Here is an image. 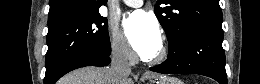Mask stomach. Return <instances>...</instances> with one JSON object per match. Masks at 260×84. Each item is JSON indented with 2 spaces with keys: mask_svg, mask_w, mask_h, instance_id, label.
Returning a JSON list of instances; mask_svg holds the SVG:
<instances>
[{
  "mask_svg": "<svg viewBox=\"0 0 260 84\" xmlns=\"http://www.w3.org/2000/svg\"><path fill=\"white\" fill-rule=\"evenodd\" d=\"M154 84H183V82L175 77H159Z\"/></svg>",
  "mask_w": 260,
  "mask_h": 84,
  "instance_id": "0dacf381",
  "label": "stomach"
}]
</instances>
